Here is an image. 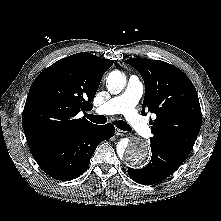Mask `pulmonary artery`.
Masks as SVG:
<instances>
[{
  "label": "pulmonary artery",
  "instance_id": "pulmonary-artery-1",
  "mask_svg": "<svg viewBox=\"0 0 221 221\" xmlns=\"http://www.w3.org/2000/svg\"><path fill=\"white\" fill-rule=\"evenodd\" d=\"M144 92V84L137 76L128 79L125 90L118 96L109 99L96 108L99 115H112L121 113L130 126L142 137H149L152 133L148 123L137 113V103Z\"/></svg>",
  "mask_w": 221,
  "mask_h": 221
}]
</instances>
